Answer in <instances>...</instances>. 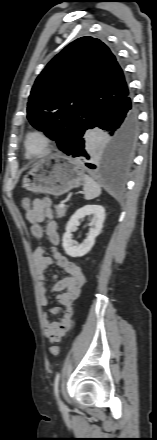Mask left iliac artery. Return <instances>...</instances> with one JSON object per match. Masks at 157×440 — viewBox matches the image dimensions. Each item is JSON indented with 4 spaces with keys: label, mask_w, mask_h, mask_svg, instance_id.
I'll return each instance as SVG.
<instances>
[{
    "label": "left iliac artery",
    "mask_w": 157,
    "mask_h": 440,
    "mask_svg": "<svg viewBox=\"0 0 157 440\" xmlns=\"http://www.w3.org/2000/svg\"><path fill=\"white\" fill-rule=\"evenodd\" d=\"M59 380H60V373L56 374L55 380H54V393L56 398L58 399V386H59Z\"/></svg>",
    "instance_id": "1"
}]
</instances>
